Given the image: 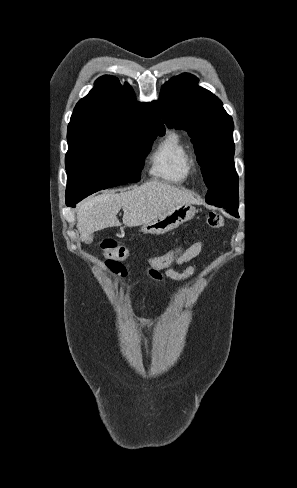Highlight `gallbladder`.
<instances>
[{
	"mask_svg": "<svg viewBox=\"0 0 297 488\" xmlns=\"http://www.w3.org/2000/svg\"><path fill=\"white\" fill-rule=\"evenodd\" d=\"M91 240H92V237L90 236L89 241H91Z\"/></svg>",
	"mask_w": 297,
	"mask_h": 488,
	"instance_id": "obj_1",
	"label": "gallbladder"
}]
</instances>
